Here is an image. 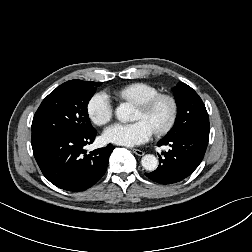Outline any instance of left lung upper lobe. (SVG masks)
Listing matches in <instances>:
<instances>
[{"label": "left lung upper lobe", "mask_w": 252, "mask_h": 252, "mask_svg": "<svg viewBox=\"0 0 252 252\" xmlns=\"http://www.w3.org/2000/svg\"><path fill=\"white\" fill-rule=\"evenodd\" d=\"M177 117L173 128L164 138H172L194 130L209 132V117L198 94L187 84L181 83L174 89Z\"/></svg>", "instance_id": "5c2ea615"}]
</instances>
